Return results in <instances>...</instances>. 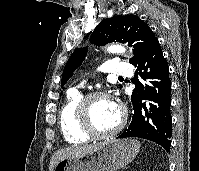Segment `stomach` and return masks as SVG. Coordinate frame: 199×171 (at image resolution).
Returning <instances> with one entry per match:
<instances>
[{"label": "stomach", "instance_id": "0dacf381", "mask_svg": "<svg viewBox=\"0 0 199 171\" xmlns=\"http://www.w3.org/2000/svg\"><path fill=\"white\" fill-rule=\"evenodd\" d=\"M139 148L134 139H108L89 153L59 161L53 171H116L129 164Z\"/></svg>", "mask_w": 199, "mask_h": 171}]
</instances>
